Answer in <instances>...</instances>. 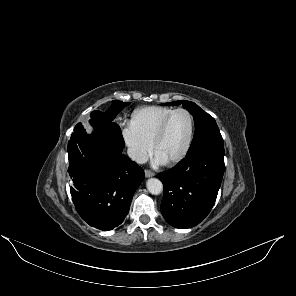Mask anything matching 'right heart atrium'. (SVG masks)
<instances>
[{
  "instance_id": "right-heart-atrium-1",
  "label": "right heart atrium",
  "mask_w": 296,
  "mask_h": 296,
  "mask_svg": "<svg viewBox=\"0 0 296 296\" xmlns=\"http://www.w3.org/2000/svg\"><path fill=\"white\" fill-rule=\"evenodd\" d=\"M124 141L128 147L131 158L142 163L148 157L151 147L149 144L144 142L132 129L126 127L122 130Z\"/></svg>"
}]
</instances>
